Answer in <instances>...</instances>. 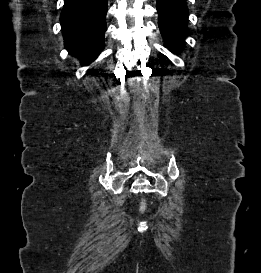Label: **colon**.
I'll use <instances>...</instances> for the list:
<instances>
[{
    "label": "colon",
    "mask_w": 261,
    "mask_h": 273,
    "mask_svg": "<svg viewBox=\"0 0 261 273\" xmlns=\"http://www.w3.org/2000/svg\"><path fill=\"white\" fill-rule=\"evenodd\" d=\"M147 209V204L146 202H142L141 205H140V211L141 212H145Z\"/></svg>",
    "instance_id": "1"
}]
</instances>
